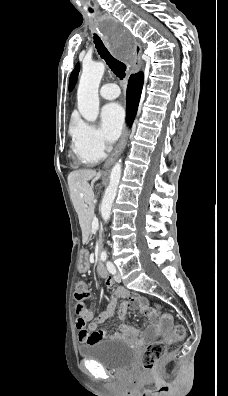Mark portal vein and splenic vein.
<instances>
[{"label":"portal vein and splenic vein","instance_id":"18ae733b","mask_svg":"<svg viewBox=\"0 0 228 396\" xmlns=\"http://www.w3.org/2000/svg\"><path fill=\"white\" fill-rule=\"evenodd\" d=\"M98 226V219L94 218L93 222H92V227H97Z\"/></svg>","mask_w":228,"mask_h":396}]
</instances>
